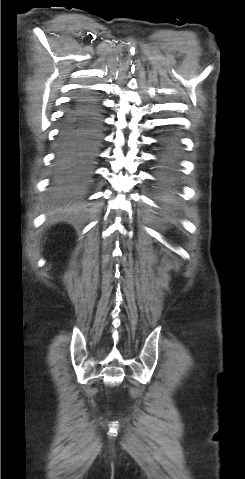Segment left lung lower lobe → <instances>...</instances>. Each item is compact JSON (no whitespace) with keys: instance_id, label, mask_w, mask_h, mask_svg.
Wrapping results in <instances>:
<instances>
[{"instance_id":"obj_1","label":"left lung lower lobe","mask_w":245,"mask_h":479,"mask_svg":"<svg viewBox=\"0 0 245 479\" xmlns=\"http://www.w3.org/2000/svg\"><path fill=\"white\" fill-rule=\"evenodd\" d=\"M164 147L166 148L165 152L162 155V165L166 167H172L173 165V158L171 156V147L172 144L167 141L164 143ZM161 183H162V188L164 189L163 192H166L168 190V180L166 177H161Z\"/></svg>"}]
</instances>
